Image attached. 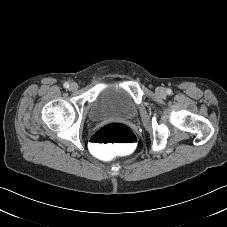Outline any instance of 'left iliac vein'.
<instances>
[{
    "label": "left iliac vein",
    "instance_id": "4c4485c4",
    "mask_svg": "<svg viewBox=\"0 0 227 227\" xmlns=\"http://www.w3.org/2000/svg\"><path fill=\"white\" fill-rule=\"evenodd\" d=\"M157 94L160 96L166 95V90L163 87L157 88Z\"/></svg>",
    "mask_w": 227,
    "mask_h": 227
}]
</instances>
